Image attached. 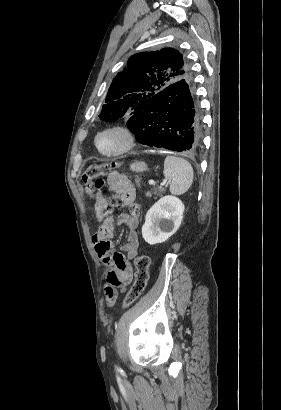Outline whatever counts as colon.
Returning a JSON list of instances; mask_svg holds the SVG:
<instances>
[{
  "mask_svg": "<svg viewBox=\"0 0 281 410\" xmlns=\"http://www.w3.org/2000/svg\"><path fill=\"white\" fill-rule=\"evenodd\" d=\"M114 165L110 164H96L90 166L83 175V182L86 186V191L88 194H91L95 185L100 187L102 185V179L109 175L113 169ZM113 205L115 204H124L123 198L117 197L114 198L111 202ZM131 213H138L139 206L137 203H132L130 206ZM148 268H149V257L145 254H141L136 257L135 259V280L130 288V290L126 293L123 306L129 307L133 303H135L139 297L143 294L147 281H148ZM108 304L111 305L113 303L112 299H109Z\"/></svg>",
  "mask_w": 281,
  "mask_h": 410,
  "instance_id": "1",
  "label": "colon"
}]
</instances>
